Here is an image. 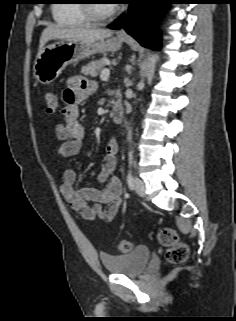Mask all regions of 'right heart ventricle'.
<instances>
[{"instance_id": "obj_1", "label": "right heart ventricle", "mask_w": 236, "mask_h": 321, "mask_svg": "<svg viewBox=\"0 0 236 321\" xmlns=\"http://www.w3.org/2000/svg\"><path fill=\"white\" fill-rule=\"evenodd\" d=\"M82 0H60L52 8L54 21L61 26H81L88 20L83 12Z\"/></svg>"}]
</instances>
